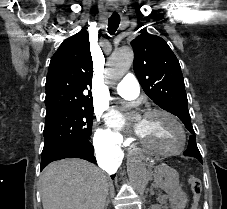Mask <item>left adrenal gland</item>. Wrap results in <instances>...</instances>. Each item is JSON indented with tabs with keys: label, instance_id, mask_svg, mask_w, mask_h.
Listing matches in <instances>:
<instances>
[{
	"label": "left adrenal gland",
	"instance_id": "1",
	"mask_svg": "<svg viewBox=\"0 0 227 209\" xmlns=\"http://www.w3.org/2000/svg\"><path fill=\"white\" fill-rule=\"evenodd\" d=\"M150 191H151V195H154V191H152V189H150Z\"/></svg>",
	"mask_w": 227,
	"mask_h": 209
}]
</instances>
